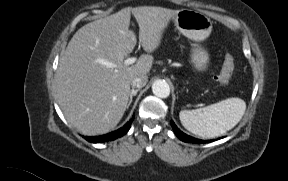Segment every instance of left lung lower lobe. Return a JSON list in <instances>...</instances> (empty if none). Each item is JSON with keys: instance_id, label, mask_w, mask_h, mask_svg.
I'll use <instances>...</instances> for the list:
<instances>
[{"instance_id": "obj_1", "label": "left lung lower lobe", "mask_w": 288, "mask_h": 181, "mask_svg": "<svg viewBox=\"0 0 288 181\" xmlns=\"http://www.w3.org/2000/svg\"><path fill=\"white\" fill-rule=\"evenodd\" d=\"M172 128H173V131L175 133V135L182 141L184 142H187V143H197V144H204V143H209V142H212L213 140H207V141H204V140H201V139H197V138H194V137H191L185 133H183L177 126L176 124L171 121L170 122Z\"/></svg>"}]
</instances>
